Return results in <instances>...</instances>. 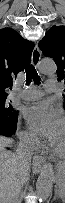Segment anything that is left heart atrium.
Here are the masks:
<instances>
[{"label":"left heart atrium","mask_w":65,"mask_h":203,"mask_svg":"<svg viewBox=\"0 0 65 203\" xmlns=\"http://www.w3.org/2000/svg\"><path fill=\"white\" fill-rule=\"evenodd\" d=\"M25 119L38 135L52 141L64 127V119L60 112L53 109L48 102H41L26 109Z\"/></svg>","instance_id":"39dd6f15"}]
</instances>
